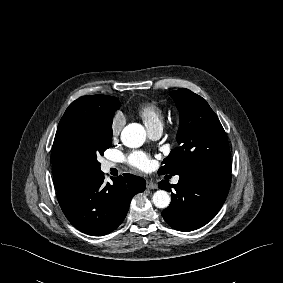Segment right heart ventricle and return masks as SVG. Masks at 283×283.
I'll use <instances>...</instances> for the list:
<instances>
[{
	"instance_id": "1",
	"label": "right heart ventricle",
	"mask_w": 283,
	"mask_h": 283,
	"mask_svg": "<svg viewBox=\"0 0 283 283\" xmlns=\"http://www.w3.org/2000/svg\"><path fill=\"white\" fill-rule=\"evenodd\" d=\"M138 116L143 120L147 129L163 126L164 109L156 102H145L137 108Z\"/></svg>"
}]
</instances>
